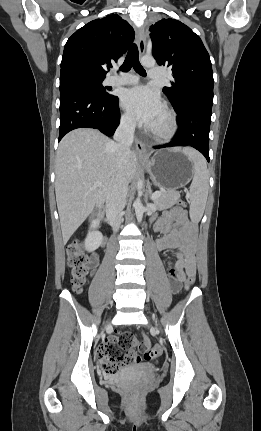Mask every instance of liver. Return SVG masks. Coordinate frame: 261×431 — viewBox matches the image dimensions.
I'll return each instance as SVG.
<instances>
[{"mask_svg": "<svg viewBox=\"0 0 261 431\" xmlns=\"http://www.w3.org/2000/svg\"><path fill=\"white\" fill-rule=\"evenodd\" d=\"M137 167V156L130 151L120 168L115 143L97 130L80 128L60 142L55 166V193L63 243L102 205L115 181L124 177L128 184ZM100 182V187H94Z\"/></svg>", "mask_w": 261, "mask_h": 431, "instance_id": "6515ba94", "label": "liver"}]
</instances>
